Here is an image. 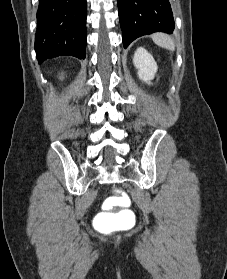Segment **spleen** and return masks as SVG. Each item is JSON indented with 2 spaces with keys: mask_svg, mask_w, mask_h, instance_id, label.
Returning <instances> with one entry per match:
<instances>
[{
  "mask_svg": "<svg viewBox=\"0 0 227 279\" xmlns=\"http://www.w3.org/2000/svg\"><path fill=\"white\" fill-rule=\"evenodd\" d=\"M152 39L160 47H163L171 51L175 50V44L173 39L166 34L156 33L152 36Z\"/></svg>",
  "mask_w": 227,
  "mask_h": 279,
  "instance_id": "obj_1",
  "label": "spleen"
}]
</instances>
